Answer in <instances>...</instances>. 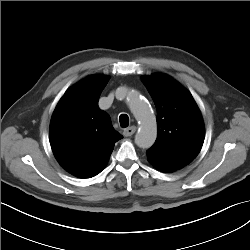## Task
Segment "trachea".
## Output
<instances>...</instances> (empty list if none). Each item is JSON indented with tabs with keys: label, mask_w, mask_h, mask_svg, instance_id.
Segmentation results:
<instances>
[{
	"label": "trachea",
	"mask_w": 250,
	"mask_h": 250,
	"mask_svg": "<svg viewBox=\"0 0 250 250\" xmlns=\"http://www.w3.org/2000/svg\"><path fill=\"white\" fill-rule=\"evenodd\" d=\"M119 121L122 128H126L129 125V117L126 114H121Z\"/></svg>",
	"instance_id": "trachea-1"
}]
</instances>
